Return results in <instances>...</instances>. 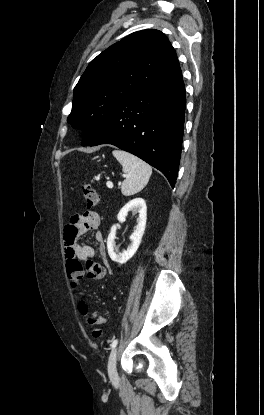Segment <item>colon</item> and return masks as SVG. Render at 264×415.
<instances>
[{
  "instance_id": "5ec220e1",
  "label": "colon",
  "mask_w": 264,
  "mask_h": 415,
  "mask_svg": "<svg viewBox=\"0 0 264 415\" xmlns=\"http://www.w3.org/2000/svg\"><path fill=\"white\" fill-rule=\"evenodd\" d=\"M82 192L89 208L98 205L100 196L92 185L88 183L83 184ZM83 272L86 273V276L89 279L93 280L102 279L105 274L104 267L94 261H89L85 267L75 260L68 263V274L72 276L74 285L81 279ZM78 310L86 318L88 325L94 327L92 332L93 337L100 338L102 336V330L98 326L103 322L101 314L98 312H91L87 303L82 299L78 302Z\"/></svg>"
}]
</instances>
